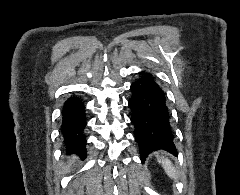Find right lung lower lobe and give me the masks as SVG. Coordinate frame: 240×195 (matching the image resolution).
Returning <instances> with one entry per match:
<instances>
[{"mask_svg": "<svg viewBox=\"0 0 240 195\" xmlns=\"http://www.w3.org/2000/svg\"><path fill=\"white\" fill-rule=\"evenodd\" d=\"M86 127L85 107L78 96L67 99L62 109L61 134L67 152H77L86 155Z\"/></svg>", "mask_w": 240, "mask_h": 195, "instance_id": "right-lung-lower-lobe-1", "label": "right lung lower lobe"}]
</instances>
